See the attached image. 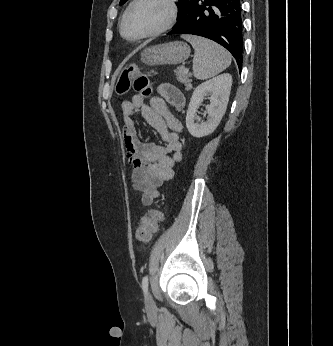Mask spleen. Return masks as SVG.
Listing matches in <instances>:
<instances>
[{"mask_svg": "<svg viewBox=\"0 0 333 346\" xmlns=\"http://www.w3.org/2000/svg\"><path fill=\"white\" fill-rule=\"evenodd\" d=\"M195 50L193 74L197 79L213 77L231 64L230 54L220 45L199 36H183Z\"/></svg>", "mask_w": 333, "mask_h": 346, "instance_id": "obj_1", "label": "spleen"}]
</instances>
